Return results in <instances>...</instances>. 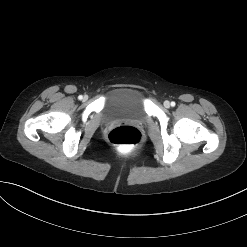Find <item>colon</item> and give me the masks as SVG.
Instances as JSON below:
<instances>
[{"mask_svg": "<svg viewBox=\"0 0 247 247\" xmlns=\"http://www.w3.org/2000/svg\"><path fill=\"white\" fill-rule=\"evenodd\" d=\"M108 141L115 147H131L142 141V134L135 127L119 126L109 132Z\"/></svg>", "mask_w": 247, "mask_h": 247, "instance_id": "5ec220e1", "label": "colon"}]
</instances>
